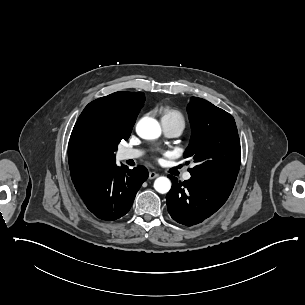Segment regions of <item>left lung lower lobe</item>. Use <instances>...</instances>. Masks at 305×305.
<instances>
[{"mask_svg": "<svg viewBox=\"0 0 305 305\" xmlns=\"http://www.w3.org/2000/svg\"><path fill=\"white\" fill-rule=\"evenodd\" d=\"M172 188L166 195L167 208L178 223L193 226L215 213L228 199L233 186L191 177L183 183L169 175Z\"/></svg>", "mask_w": 305, "mask_h": 305, "instance_id": "obj_1", "label": "left lung lower lobe"}]
</instances>
